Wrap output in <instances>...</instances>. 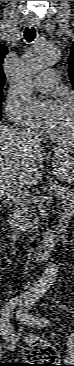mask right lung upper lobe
<instances>
[{
    "label": "right lung upper lobe",
    "instance_id": "1",
    "mask_svg": "<svg viewBox=\"0 0 74 366\" xmlns=\"http://www.w3.org/2000/svg\"><path fill=\"white\" fill-rule=\"evenodd\" d=\"M7 53H8L7 47L3 44H0V92L2 91L4 81H5V75L2 70V63H3L4 57Z\"/></svg>",
    "mask_w": 74,
    "mask_h": 366
}]
</instances>
